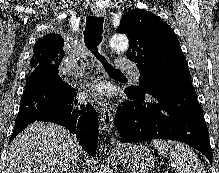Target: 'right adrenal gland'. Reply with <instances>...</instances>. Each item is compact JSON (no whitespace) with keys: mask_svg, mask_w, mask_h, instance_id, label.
Listing matches in <instances>:
<instances>
[{"mask_svg":"<svg viewBox=\"0 0 219 173\" xmlns=\"http://www.w3.org/2000/svg\"><path fill=\"white\" fill-rule=\"evenodd\" d=\"M70 172H72V173H80L78 171V166L76 164H73L72 167L70 169H68L65 173H70Z\"/></svg>","mask_w":219,"mask_h":173,"instance_id":"right-adrenal-gland-1","label":"right adrenal gland"}]
</instances>
